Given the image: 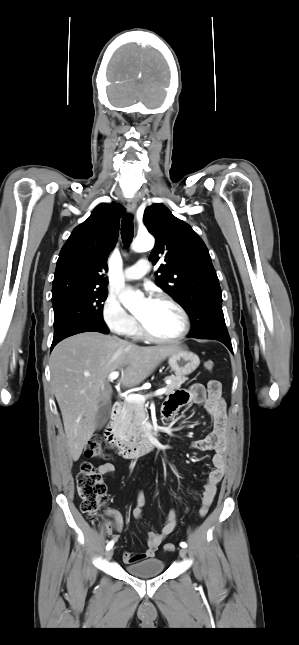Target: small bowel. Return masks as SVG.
I'll return each instance as SVG.
<instances>
[{"mask_svg":"<svg viewBox=\"0 0 299 645\" xmlns=\"http://www.w3.org/2000/svg\"><path fill=\"white\" fill-rule=\"evenodd\" d=\"M191 404H203L206 412L213 421V430L205 438L193 443V446L198 450L215 451V455L212 458L213 469L208 473L202 493V504L203 506L208 507L212 503L217 492L218 484L224 476L229 447L226 405L221 396L220 385L218 388L212 389L210 384L205 388L202 384L196 383L191 385L188 389L176 391L164 403L162 410L163 418L168 420L172 418L180 408ZM114 470L115 467L110 462H105L98 467V473L101 475L112 473ZM145 503V495L143 491H139L137 494V503L132 509V516L135 519H141ZM109 514L113 518L117 529L122 531L124 521L121 514L113 509L109 511ZM176 526V512L171 510L166 516L159 532H148L146 542L147 547L145 551L140 553H132L129 551L124 552V563L129 565L153 558L159 546L175 530Z\"/></svg>","mask_w":299,"mask_h":645,"instance_id":"c3829d8e","label":"small bowel"}]
</instances>
